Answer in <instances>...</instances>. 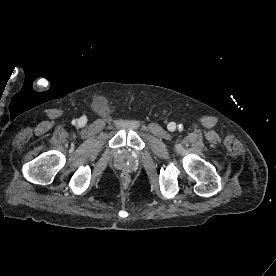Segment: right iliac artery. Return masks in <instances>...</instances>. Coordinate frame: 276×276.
I'll list each match as a JSON object with an SVG mask.
<instances>
[{
    "instance_id": "obj_1",
    "label": "right iliac artery",
    "mask_w": 276,
    "mask_h": 276,
    "mask_svg": "<svg viewBox=\"0 0 276 276\" xmlns=\"http://www.w3.org/2000/svg\"><path fill=\"white\" fill-rule=\"evenodd\" d=\"M72 124L75 125L76 124V120H72Z\"/></svg>"
}]
</instances>
